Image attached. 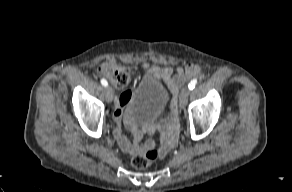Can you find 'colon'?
Segmentation results:
<instances>
[{
    "instance_id": "obj_1",
    "label": "colon",
    "mask_w": 292,
    "mask_h": 192,
    "mask_svg": "<svg viewBox=\"0 0 292 192\" xmlns=\"http://www.w3.org/2000/svg\"><path fill=\"white\" fill-rule=\"evenodd\" d=\"M100 71L106 75L111 83L118 89L125 88L130 82V71L124 65L106 64L100 67ZM158 155V151L152 149L145 154L134 156L131 163L136 169H144L150 166Z\"/></svg>"
}]
</instances>
